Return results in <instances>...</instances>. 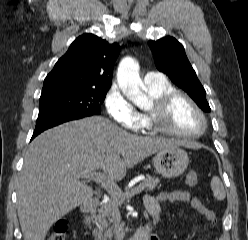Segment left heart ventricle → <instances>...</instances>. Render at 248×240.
I'll return each mask as SVG.
<instances>
[{"label":"left heart ventricle","instance_id":"b2bd125f","mask_svg":"<svg viewBox=\"0 0 248 240\" xmlns=\"http://www.w3.org/2000/svg\"><path fill=\"white\" fill-rule=\"evenodd\" d=\"M164 124L182 133H195L203 127L199 114L183 98H178L173 102L164 119Z\"/></svg>","mask_w":248,"mask_h":240}]
</instances>
